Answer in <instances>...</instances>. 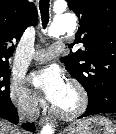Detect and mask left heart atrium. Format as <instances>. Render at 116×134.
Wrapping results in <instances>:
<instances>
[{"label":"left heart atrium","mask_w":116,"mask_h":134,"mask_svg":"<svg viewBox=\"0 0 116 134\" xmlns=\"http://www.w3.org/2000/svg\"><path fill=\"white\" fill-rule=\"evenodd\" d=\"M32 84L51 104L57 106L68 89L61 72L53 66L44 67L32 76Z\"/></svg>","instance_id":"1"}]
</instances>
